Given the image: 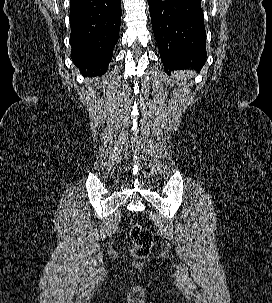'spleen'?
<instances>
[{
	"label": "spleen",
	"instance_id": "spleen-1",
	"mask_svg": "<svg viewBox=\"0 0 272 303\" xmlns=\"http://www.w3.org/2000/svg\"><path fill=\"white\" fill-rule=\"evenodd\" d=\"M189 74H190V75H193V73H192V72H190Z\"/></svg>",
	"mask_w": 272,
	"mask_h": 303
}]
</instances>
